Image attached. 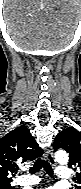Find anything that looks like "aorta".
Instances as JSON below:
<instances>
[{
  "label": "aorta",
  "instance_id": "aorta-1",
  "mask_svg": "<svg viewBox=\"0 0 81 189\" xmlns=\"http://www.w3.org/2000/svg\"><path fill=\"white\" fill-rule=\"evenodd\" d=\"M55 159L60 164H67L69 157L65 151L59 150L55 153Z\"/></svg>",
  "mask_w": 81,
  "mask_h": 189
}]
</instances>
